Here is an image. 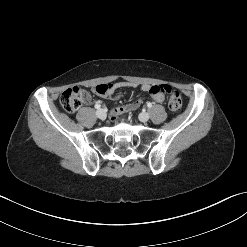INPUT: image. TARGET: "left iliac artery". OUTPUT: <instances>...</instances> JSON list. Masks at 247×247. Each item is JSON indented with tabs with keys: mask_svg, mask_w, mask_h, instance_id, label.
<instances>
[{
	"mask_svg": "<svg viewBox=\"0 0 247 247\" xmlns=\"http://www.w3.org/2000/svg\"><path fill=\"white\" fill-rule=\"evenodd\" d=\"M147 107L151 108L152 107V103L148 102L147 103Z\"/></svg>",
	"mask_w": 247,
	"mask_h": 247,
	"instance_id": "44dca946",
	"label": "left iliac artery"
}]
</instances>
